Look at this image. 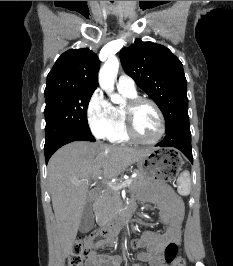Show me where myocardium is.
I'll return each instance as SVG.
<instances>
[{"instance_id": "myocardium-1", "label": "myocardium", "mask_w": 233, "mask_h": 266, "mask_svg": "<svg viewBox=\"0 0 233 266\" xmlns=\"http://www.w3.org/2000/svg\"><path fill=\"white\" fill-rule=\"evenodd\" d=\"M143 104L151 105L155 109L156 113L158 114L159 121H160V129H159L158 135L154 139H151V140H145L139 137L134 127V114L136 110ZM122 110H123V115H124L126 132L130 140L136 143H139V144H144V145H153L161 141V139L163 138L165 134L166 123H165V117L163 115V112L156 102L148 98L134 97V98L128 99L126 104L123 106Z\"/></svg>"}]
</instances>
